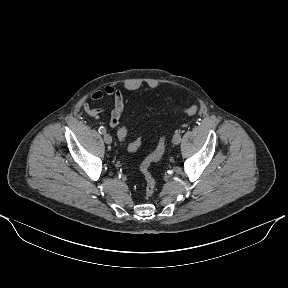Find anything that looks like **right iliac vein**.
<instances>
[{
  "label": "right iliac vein",
  "mask_w": 288,
  "mask_h": 288,
  "mask_svg": "<svg viewBox=\"0 0 288 288\" xmlns=\"http://www.w3.org/2000/svg\"><path fill=\"white\" fill-rule=\"evenodd\" d=\"M104 141L106 144H111L112 143V137L110 134H105L104 135Z\"/></svg>",
  "instance_id": "right-iliac-vein-1"
}]
</instances>
